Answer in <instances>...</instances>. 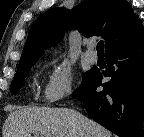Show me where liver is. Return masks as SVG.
Here are the masks:
<instances>
[{
  "instance_id": "liver-1",
  "label": "liver",
  "mask_w": 144,
  "mask_h": 137,
  "mask_svg": "<svg viewBox=\"0 0 144 137\" xmlns=\"http://www.w3.org/2000/svg\"><path fill=\"white\" fill-rule=\"evenodd\" d=\"M111 137L110 131L68 108L24 107L10 113L3 137Z\"/></svg>"
}]
</instances>
